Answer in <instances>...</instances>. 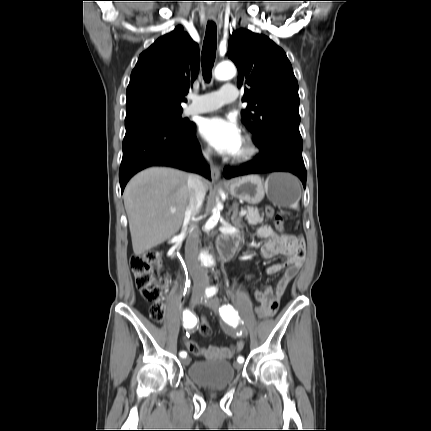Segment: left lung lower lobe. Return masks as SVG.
<instances>
[{
    "label": "left lung lower lobe",
    "mask_w": 431,
    "mask_h": 431,
    "mask_svg": "<svg viewBox=\"0 0 431 431\" xmlns=\"http://www.w3.org/2000/svg\"><path fill=\"white\" fill-rule=\"evenodd\" d=\"M257 146L260 148V154L247 162V166L226 168L224 176L229 179L253 173L291 172L298 176L304 188L306 187L307 174L302 158L301 136L280 131Z\"/></svg>",
    "instance_id": "1"
}]
</instances>
